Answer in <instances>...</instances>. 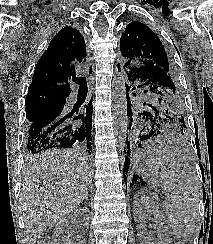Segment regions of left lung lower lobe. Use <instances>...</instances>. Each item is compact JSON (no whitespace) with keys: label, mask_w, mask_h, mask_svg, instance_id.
Instances as JSON below:
<instances>
[{"label":"left lung lower lobe","mask_w":213,"mask_h":244,"mask_svg":"<svg viewBox=\"0 0 213 244\" xmlns=\"http://www.w3.org/2000/svg\"><path fill=\"white\" fill-rule=\"evenodd\" d=\"M139 115L142 116V118L145 120L146 126L143 128V133L138 135V140L136 142H132L139 147H143V143L147 140L154 139L159 134L164 133V127H162L160 124H158L153 118H151L146 112H139ZM127 116L130 117V124H129V131H131V124H132V116H133V110L131 109V105H127ZM127 143V142H126ZM128 151L127 155L130 157L131 152V142L127 145ZM126 153V150H125ZM129 168V158H125V164H124V170L127 171ZM125 177V175H123ZM126 178V177H125Z\"/></svg>","instance_id":"0a47b994"}]
</instances>
